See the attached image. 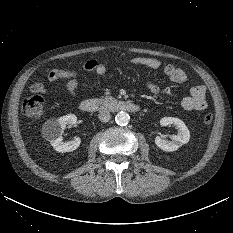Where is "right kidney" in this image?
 <instances>
[{
	"label": "right kidney",
	"instance_id": "1",
	"mask_svg": "<svg viewBox=\"0 0 233 233\" xmlns=\"http://www.w3.org/2000/svg\"><path fill=\"white\" fill-rule=\"evenodd\" d=\"M77 117L74 114H69L59 119H51L45 122L43 125V134L45 138L50 142L53 148L61 153L71 152L76 150L80 143V138H75L74 140L64 142L62 133L67 125L75 124Z\"/></svg>",
	"mask_w": 233,
	"mask_h": 233
}]
</instances>
